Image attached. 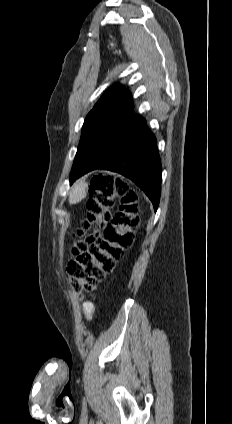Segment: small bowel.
<instances>
[{
    "instance_id": "c3829d8e",
    "label": "small bowel",
    "mask_w": 232,
    "mask_h": 424,
    "mask_svg": "<svg viewBox=\"0 0 232 424\" xmlns=\"http://www.w3.org/2000/svg\"><path fill=\"white\" fill-rule=\"evenodd\" d=\"M95 306L92 303H86L83 307V313L87 320H91L95 314Z\"/></svg>"
}]
</instances>
